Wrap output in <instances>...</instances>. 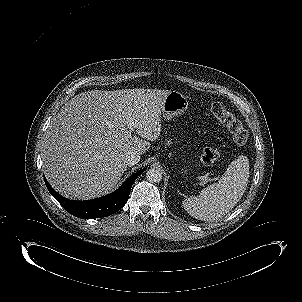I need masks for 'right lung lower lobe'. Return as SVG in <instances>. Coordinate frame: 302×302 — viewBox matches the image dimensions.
I'll use <instances>...</instances> for the list:
<instances>
[{
  "mask_svg": "<svg viewBox=\"0 0 302 302\" xmlns=\"http://www.w3.org/2000/svg\"><path fill=\"white\" fill-rule=\"evenodd\" d=\"M141 169L131 177L114 193L86 201L69 200L58 194L45 180L50 194L72 215L82 219L101 218L114 214L127 202L131 187L137 177L144 171Z\"/></svg>",
  "mask_w": 302,
  "mask_h": 302,
  "instance_id": "right-lung-lower-lobe-1",
  "label": "right lung lower lobe"
}]
</instances>
